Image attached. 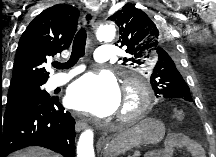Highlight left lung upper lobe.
<instances>
[{"label": "left lung upper lobe", "mask_w": 216, "mask_h": 157, "mask_svg": "<svg viewBox=\"0 0 216 157\" xmlns=\"http://www.w3.org/2000/svg\"><path fill=\"white\" fill-rule=\"evenodd\" d=\"M109 19L119 28L120 47H126L125 62L134 67L151 69L150 83L155 95L163 100L180 99L192 102L190 89L181 74L175 39L167 35L158 19H150L135 5L126 4Z\"/></svg>", "instance_id": "left-lung-upper-lobe-1"}]
</instances>
